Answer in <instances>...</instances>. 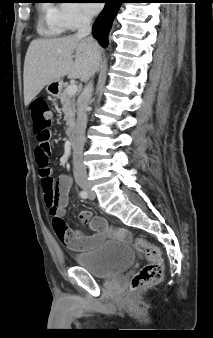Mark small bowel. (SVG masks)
I'll return each instance as SVG.
<instances>
[{"instance_id": "1", "label": "small bowel", "mask_w": 213, "mask_h": 338, "mask_svg": "<svg viewBox=\"0 0 213 338\" xmlns=\"http://www.w3.org/2000/svg\"><path fill=\"white\" fill-rule=\"evenodd\" d=\"M37 150L42 154L48 155L51 151L50 144L47 142L39 143ZM70 178L68 175L59 176L56 183V195H57V217L64 219L66 213V207L68 204L69 190H70ZM78 219L85 224H88L91 219V213L86 210L78 212ZM102 224L104 219L100 216L96 217ZM64 227V226H63ZM106 231L104 225L100 229H96L93 235H88L80 231H74L64 227V231L57 230V236L61 243L65 244L69 249L76 252H84L93 250L99 242L106 238ZM118 237L122 239H128L130 237L129 232L124 228L118 229Z\"/></svg>"}]
</instances>
